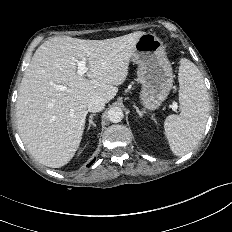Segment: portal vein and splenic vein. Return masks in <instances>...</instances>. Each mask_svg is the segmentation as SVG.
Here are the masks:
<instances>
[{
  "mask_svg": "<svg viewBox=\"0 0 232 232\" xmlns=\"http://www.w3.org/2000/svg\"><path fill=\"white\" fill-rule=\"evenodd\" d=\"M87 71H88V67L86 66V60L83 59V60L77 61V73H78V75L83 76ZM57 88L60 90L65 89V87L61 86V85L57 86ZM172 107H173V109H177V104L173 103Z\"/></svg>",
  "mask_w": 232,
  "mask_h": 232,
  "instance_id": "18ae733b",
  "label": "portal vein and splenic vein"
}]
</instances>
